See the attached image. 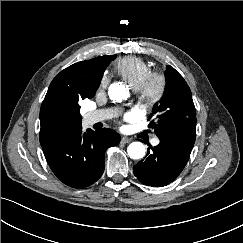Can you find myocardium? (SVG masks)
<instances>
[{
	"label": "myocardium",
	"instance_id": "1",
	"mask_svg": "<svg viewBox=\"0 0 243 243\" xmlns=\"http://www.w3.org/2000/svg\"><path fill=\"white\" fill-rule=\"evenodd\" d=\"M167 77L161 71L149 72L136 89L140 107L144 110L153 108L165 95Z\"/></svg>",
	"mask_w": 243,
	"mask_h": 243
}]
</instances>
